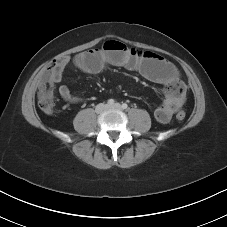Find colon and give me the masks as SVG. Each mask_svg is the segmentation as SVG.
<instances>
[{"label":"colon","instance_id":"obj_1","mask_svg":"<svg viewBox=\"0 0 227 227\" xmlns=\"http://www.w3.org/2000/svg\"><path fill=\"white\" fill-rule=\"evenodd\" d=\"M59 60H55L52 67L60 63ZM38 105L39 108L46 114H51L55 106V98L53 93V82L47 77L41 82L38 92ZM175 117L177 121L182 122L186 118V111L183 108H179L176 111Z\"/></svg>","mask_w":227,"mask_h":227}]
</instances>
